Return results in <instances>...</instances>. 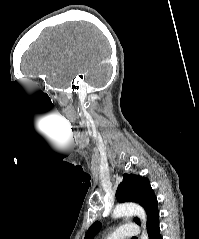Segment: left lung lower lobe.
Masks as SVG:
<instances>
[{
    "label": "left lung lower lobe",
    "instance_id": "obj_1",
    "mask_svg": "<svg viewBox=\"0 0 199 239\" xmlns=\"http://www.w3.org/2000/svg\"><path fill=\"white\" fill-rule=\"evenodd\" d=\"M149 239H162L159 227V211H157L147 223Z\"/></svg>",
    "mask_w": 199,
    "mask_h": 239
}]
</instances>
